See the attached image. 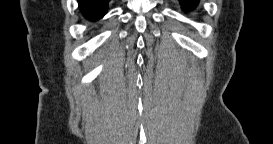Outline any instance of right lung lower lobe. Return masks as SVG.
I'll return each instance as SVG.
<instances>
[{
	"mask_svg": "<svg viewBox=\"0 0 273 144\" xmlns=\"http://www.w3.org/2000/svg\"><path fill=\"white\" fill-rule=\"evenodd\" d=\"M79 7L85 18L96 21L107 12L108 0H78Z\"/></svg>",
	"mask_w": 273,
	"mask_h": 144,
	"instance_id": "right-lung-lower-lobe-1",
	"label": "right lung lower lobe"
}]
</instances>
